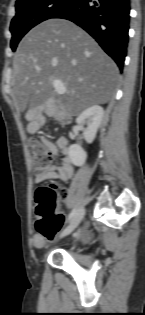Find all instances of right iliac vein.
Returning <instances> with one entry per match:
<instances>
[{"label":"right iliac vein","mask_w":145,"mask_h":315,"mask_svg":"<svg viewBox=\"0 0 145 315\" xmlns=\"http://www.w3.org/2000/svg\"><path fill=\"white\" fill-rule=\"evenodd\" d=\"M85 214L84 208H80L74 217L71 219L69 225L59 234L60 237L69 235L81 222Z\"/></svg>","instance_id":"63e3f726"}]
</instances>
